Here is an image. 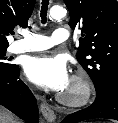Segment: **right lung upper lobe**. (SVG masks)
I'll list each match as a JSON object with an SVG mask.
<instances>
[{
    "label": "right lung upper lobe",
    "instance_id": "1",
    "mask_svg": "<svg viewBox=\"0 0 118 123\" xmlns=\"http://www.w3.org/2000/svg\"><path fill=\"white\" fill-rule=\"evenodd\" d=\"M35 0H0V49L7 48V36L16 26L27 27Z\"/></svg>",
    "mask_w": 118,
    "mask_h": 123
}]
</instances>
